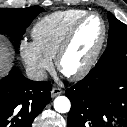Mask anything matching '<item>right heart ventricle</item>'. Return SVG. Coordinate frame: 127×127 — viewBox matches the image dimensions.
<instances>
[{
  "label": "right heart ventricle",
  "instance_id": "right-heart-ventricle-1",
  "mask_svg": "<svg viewBox=\"0 0 127 127\" xmlns=\"http://www.w3.org/2000/svg\"><path fill=\"white\" fill-rule=\"evenodd\" d=\"M85 13L84 10L69 9L44 16L32 28L33 42L47 57L55 58L70 27Z\"/></svg>",
  "mask_w": 127,
  "mask_h": 127
}]
</instances>
